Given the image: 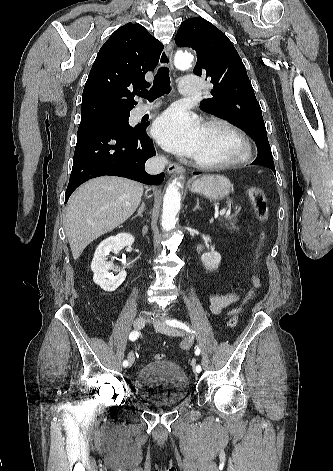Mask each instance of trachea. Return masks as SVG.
I'll use <instances>...</instances> for the list:
<instances>
[{
	"instance_id": "trachea-1",
	"label": "trachea",
	"mask_w": 333,
	"mask_h": 471,
	"mask_svg": "<svg viewBox=\"0 0 333 471\" xmlns=\"http://www.w3.org/2000/svg\"><path fill=\"white\" fill-rule=\"evenodd\" d=\"M170 89L169 68L160 67L154 77L152 88L149 91L144 89L139 92L138 95L151 102L161 97L163 94L169 93Z\"/></svg>"
}]
</instances>
